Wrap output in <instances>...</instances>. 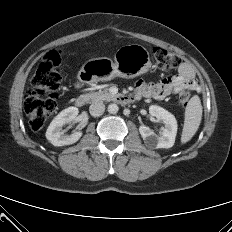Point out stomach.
I'll return each mask as SVG.
<instances>
[{
    "mask_svg": "<svg viewBox=\"0 0 232 232\" xmlns=\"http://www.w3.org/2000/svg\"><path fill=\"white\" fill-rule=\"evenodd\" d=\"M149 52L138 44L120 47L114 57H102L87 61L81 68L78 79L82 83L109 81L115 77L133 78L151 68Z\"/></svg>",
    "mask_w": 232,
    "mask_h": 232,
    "instance_id": "obj_1",
    "label": "stomach"
}]
</instances>
